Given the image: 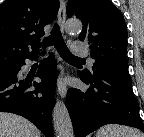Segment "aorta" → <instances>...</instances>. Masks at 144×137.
<instances>
[{"instance_id": "aorta-1", "label": "aorta", "mask_w": 144, "mask_h": 137, "mask_svg": "<svg viewBox=\"0 0 144 137\" xmlns=\"http://www.w3.org/2000/svg\"><path fill=\"white\" fill-rule=\"evenodd\" d=\"M82 29L79 20H68L66 30L68 32H78ZM53 124L57 137H73L74 131L70 115L63 101L57 99L53 109Z\"/></svg>"}]
</instances>
